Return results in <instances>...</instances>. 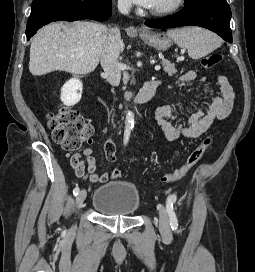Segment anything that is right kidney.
Returning a JSON list of instances; mask_svg holds the SVG:
<instances>
[{
    "label": "right kidney",
    "mask_w": 255,
    "mask_h": 272,
    "mask_svg": "<svg viewBox=\"0 0 255 272\" xmlns=\"http://www.w3.org/2000/svg\"><path fill=\"white\" fill-rule=\"evenodd\" d=\"M83 85L80 79L74 77L67 81L61 89V101L67 106L76 105L82 97Z\"/></svg>",
    "instance_id": "obj_1"
}]
</instances>
